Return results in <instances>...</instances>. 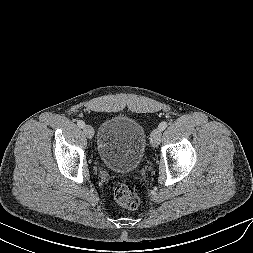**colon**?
<instances>
[{
    "instance_id": "colon-1",
    "label": "colon",
    "mask_w": 253,
    "mask_h": 253,
    "mask_svg": "<svg viewBox=\"0 0 253 253\" xmlns=\"http://www.w3.org/2000/svg\"><path fill=\"white\" fill-rule=\"evenodd\" d=\"M114 199L120 206L127 209H136L140 204L137 191L126 184H120L115 187Z\"/></svg>"
}]
</instances>
